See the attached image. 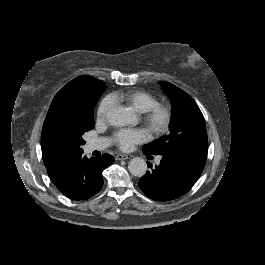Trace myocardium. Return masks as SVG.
I'll list each match as a JSON object with an SVG mask.
<instances>
[{"mask_svg": "<svg viewBox=\"0 0 265 265\" xmlns=\"http://www.w3.org/2000/svg\"><path fill=\"white\" fill-rule=\"evenodd\" d=\"M170 119V110L162 104H155L147 112L142 113L144 124L155 135L162 134L167 130Z\"/></svg>", "mask_w": 265, "mask_h": 265, "instance_id": "f54148a6", "label": "myocardium"}]
</instances>
